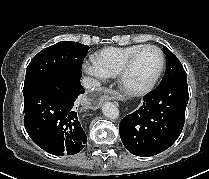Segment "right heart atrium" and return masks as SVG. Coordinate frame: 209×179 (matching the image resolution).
I'll return each instance as SVG.
<instances>
[{
	"mask_svg": "<svg viewBox=\"0 0 209 179\" xmlns=\"http://www.w3.org/2000/svg\"><path fill=\"white\" fill-rule=\"evenodd\" d=\"M84 70L91 76L97 79H103V75L99 72L94 64L86 63L84 64Z\"/></svg>",
	"mask_w": 209,
	"mask_h": 179,
	"instance_id": "1",
	"label": "right heart atrium"
}]
</instances>
